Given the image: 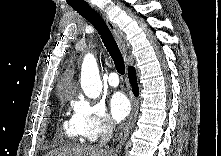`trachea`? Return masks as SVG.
Masks as SVG:
<instances>
[{
  "label": "trachea",
  "instance_id": "trachea-1",
  "mask_svg": "<svg viewBox=\"0 0 221 156\" xmlns=\"http://www.w3.org/2000/svg\"><path fill=\"white\" fill-rule=\"evenodd\" d=\"M68 1V0H67ZM68 4L75 9L80 15L88 20L100 35L107 51L114 61L115 67L121 75L125 73V64L119 47L103 18L87 2L83 0H73Z\"/></svg>",
  "mask_w": 221,
  "mask_h": 156
}]
</instances>
